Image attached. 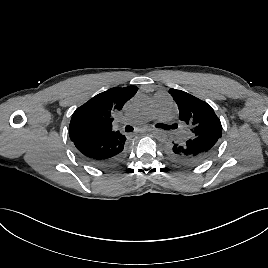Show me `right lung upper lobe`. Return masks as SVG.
Wrapping results in <instances>:
<instances>
[{"label": "right lung upper lobe", "instance_id": "right-lung-upper-lobe-1", "mask_svg": "<svg viewBox=\"0 0 268 268\" xmlns=\"http://www.w3.org/2000/svg\"><path fill=\"white\" fill-rule=\"evenodd\" d=\"M137 90L136 86L114 87L94 96L77 108L69 125L71 141L102 137L114 133L112 131L114 113L120 111Z\"/></svg>", "mask_w": 268, "mask_h": 268}]
</instances>
